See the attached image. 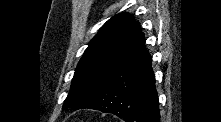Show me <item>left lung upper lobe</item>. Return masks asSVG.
<instances>
[{
	"label": "left lung upper lobe",
	"mask_w": 221,
	"mask_h": 122,
	"mask_svg": "<svg viewBox=\"0 0 221 122\" xmlns=\"http://www.w3.org/2000/svg\"><path fill=\"white\" fill-rule=\"evenodd\" d=\"M137 22L120 13L109 19L80 59L63 109H79L96 93L122 56Z\"/></svg>",
	"instance_id": "obj_1"
}]
</instances>
